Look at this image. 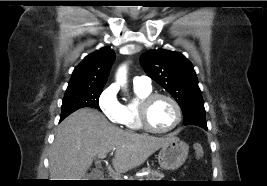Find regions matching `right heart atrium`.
I'll list each match as a JSON object with an SVG mask.
<instances>
[{"label":"right heart atrium","instance_id":"1","mask_svg":"<svg viewBox=\"0 0 267 186\" xmlns=\"http://www.w3.org/2000/svg\"><path fill=\"white\" fill-rule=\"evenodd\" d=\"M98 106L109 121L119 123L121 104L117 99V94L114 87H107L102 90L98 97Z\"/></svg>","mask_w":267,"mask_h":186}]
</instances>
